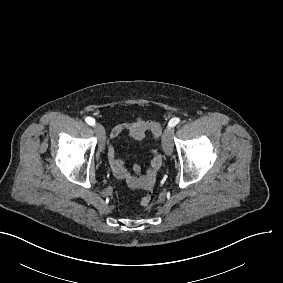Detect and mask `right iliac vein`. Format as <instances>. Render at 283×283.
Instances as JSON below:
<instances>
[{"mask_svg":"<svg viewBox=\"0 0 283 283\" xmlns=\"http://www.w3.org/2000/svg\"><path fill=\"white\" fill-rule=\"evenodd\" d=\"M94 129H95L96 134L99 138V150L104 151V149H105V139H106L105 130H104V128L101 124H96L94 126Z\"/></svg>","mask_w":283,"mask_h":283,"instance_id":"obj_1","label":"right iliac vein"}]
</instances>
